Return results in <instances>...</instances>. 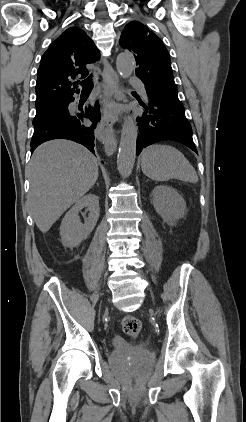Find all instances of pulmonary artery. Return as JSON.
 Returning a JSON list of instances; mask_svg holds the SVG:
<instances>
[{"label": "pulmonary artery", "mask_w": 246, "mask_h": 422, "mask_svg": "<svg viewBox=\"0 0 246 422\" xmlns=\"http://www.w3.org/2000/svg\"><path fill=\"white\" fill-rule=\"evenodd\" d=\"M129 83L135 87L142 95L146 96L145 86L142 81L136 76H130Z\"/></svg>", "instance_id": "e3ab8cb5"}]
</instances>
